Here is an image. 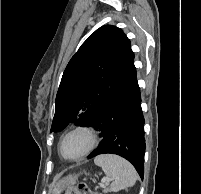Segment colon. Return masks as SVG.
Listing matches in <instances>:
<instances>
[{
  "mask_svg": "<svg viewBox=\"0 0 201 194\" xmlns=\"http://www.w3.org/2000/svg\"><path fill=\"white\" fill-rule=\"evenodd\" d=\"M64 194H100L92 191L86 184L79 183L70 187Z\"/></svg>",
  "mask_w": 201,
  "mask_h": 194,
  "instance_id": "1",
  "label": "colon"
}]
</instances>
